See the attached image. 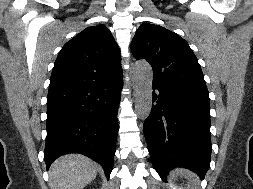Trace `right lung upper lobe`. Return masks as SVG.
Here are the masks:
<instances>
[{
	"label": "right lung upper lobe",
	"mask_w": 253,
	"mask_h": 189,
	"mask_svg": "<svg viewBox=\"0 0 253 189\" xmlns=\"http://www.w3.org/2000/svg\"><path fill=\"white\" fill-rule=\"evenodd\" d=\"M121 74L119 47L109 29L100 24L84 29L63 46L49 88L97 84Z\"/></svg>",
	"instance_id": "obj_1"
}]
</instances>
